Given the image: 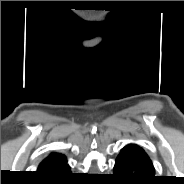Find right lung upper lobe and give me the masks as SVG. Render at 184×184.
<instances>
[{
	"mask_svg": "<svg viewBox=\"0 0 184 184\" xmlns=\"http://www.w3.org/2000/svg\"><path fill=\"white\" fill-rule=\"evenodd\" d=\"M62 158H64L63 155L58 154V153H52L40 163L38 170H43L46 167L50 166L51 164H53L54 162Z\"/></svg>",
	"mask_w": 184,
	"mask_h": 184,
	"instance_id": "1",
	"label": "right lung upper lobe"
}]
</instances>
